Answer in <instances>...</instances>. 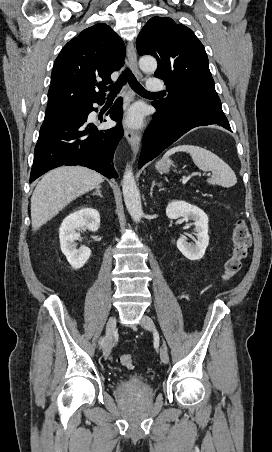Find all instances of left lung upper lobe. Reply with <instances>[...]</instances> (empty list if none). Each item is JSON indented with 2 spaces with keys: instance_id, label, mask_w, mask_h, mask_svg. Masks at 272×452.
<instances>
[{
  "instance_id": "1",
  "label": "left lung upper lobe",
  "mask_w": 272,
  "mask_h": 452,
  "mask_svg": "<svg viewBox=\"0 0 272 452\" xmlns=\"http://www.w3.org/2000/svg\"><path fill=\"white\" fill-rule=\"evenodd\" d=\"M139 55L157 59L155 77L167 85L168 96L155 103L174 111L188 105L221 107L204 46L193 31L167 17H153L136 40Z\"/></svg>"
}]
</instances>
